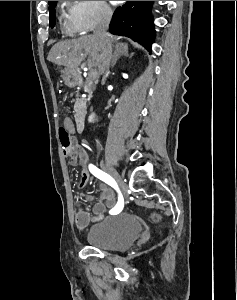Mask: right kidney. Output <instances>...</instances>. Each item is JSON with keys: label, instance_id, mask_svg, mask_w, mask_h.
I'll return each mask as SVG.
<instances>
[{"label": "right kidney", "instance_id": "right-kidney-1", "mask_svg": "<svg viewBox=\"0 0 237 300\" xmlns=\"http://www.w3.org/2000/svg\"><path fill=\"white\" fill-rule=\"evenodd\" d=\"M88 121H89V123H94V121H96V119H95V113H92V115H90Z\"/></svg>", "mask_w": 237, "mask_h": 300}]
</instances>
